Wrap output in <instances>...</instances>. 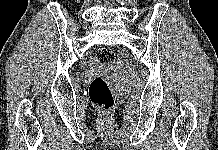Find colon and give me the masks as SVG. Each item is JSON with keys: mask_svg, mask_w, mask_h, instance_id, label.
<instances>
[{"mask_svg": "<svg viewBox=\"0 0 218 150\" xmlns=\"http://www.w3.org/2000/svg\"><path fill=\"white\" fill-rule=\"evenodd\" d=\"M115 59L114 52L107 47L96 51V60L100 64H109ZM89 98L91 102L101 111L109 112L114 106V95L107 82L102 76L95 77L89 86Z\"/></svg>", "mask_w": 218, "mask_h": 150, "instance_id": "obj_1", "label": "colon"}]
</instances>
